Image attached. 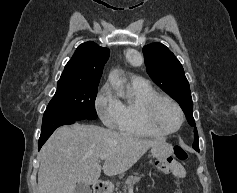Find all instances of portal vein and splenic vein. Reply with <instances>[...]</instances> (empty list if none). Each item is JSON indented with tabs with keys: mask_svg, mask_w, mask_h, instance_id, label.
I'll return each instance as SVG.
<instances>
[{
	"mask_svg": "<svg viewBox=\"0 0 237 193\" xmlns=\"http://www.w3.org/2000/svg\"><path fill=\"white\" fill-rule=\"evenodd\" d=\"M106 158H107V155H106V154H103V155L100 156V159H101V160H105Z\"/></svg>",
	"mask_w": 237,
	"mask_h": 193,
	"instance_id": "portal-vein-and-splenic-vein-1",
	"label": "portal vein and splenic vein"
}]
</instances>
